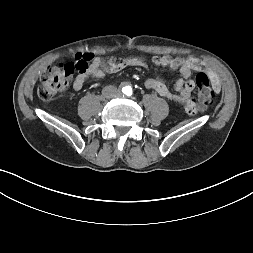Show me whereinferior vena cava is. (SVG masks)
Masks as SVG:
<instances>
[{
	"label": "inferior vena cava",
	"instance_id": "1",
	"mask_svg": "<svg viewBox=\"0 0 253 253\" xmlns=\"http://www.w3.org/2000/svg\"><path fill=\"white\" fill-rule=\"evenodd\" d=\"M103 94L107 98H112L117 94V88L115 86L109 85L103 89Z\"/></svg>",
	"mask_w": 253,
	"mask_h": 253
}]
</instances>
